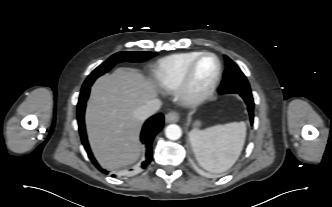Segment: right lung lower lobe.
<instances>
[{
    "instance_id": "98d812e1",
    "label": "right lung lower lobe",
    "mask_w": 332,
    "mask_h": 207,
    "mask_svg": "<svg viewBox=\"0 0 332 207\" xmlns=\"http://www.w3.org/2000/svg\"><path fill=\"white\" fill-rule=\"evenodd\" d=\"M90 92V87L82 88L78 105H77V120L79 125V132L81 136L82 143L84 145L85 150L87 151L88 157L92 161V163L103 173H108L106 170L102 169L100 165L97 163L93 154L90 150L89 143L87 140V135L85 132V124H84V112L86 107V101L88 99ZM164 124V116L159 113L151 118H149L142 129L141 132V142L146 147L145 160L141 164V168H146L152 160V142L156 134L163 128ZM112 176H115L114 174Z\"/></svg>"
}]
</instances>
